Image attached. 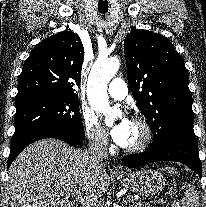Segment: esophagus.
<instances>
[{
	"label": "esophagus",
	"mask_w": 206,
	"mask_h": 207,
	"mask_svg": "<svg viewBox=\"0 0 206 207\" xmlns=\"http://www.w3.org/2000/svg\"><path fill=\"white\" fill-rule=\"evenodd\" d=\"M114 173H116V174H123V169H121L119 167H116L115 170H114Z\"/></svg>",
	"instance_id": "obj_1"
}]
</instances>
